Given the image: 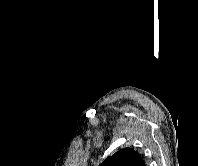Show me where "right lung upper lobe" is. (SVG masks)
Listing matches in <instances>:
<instances>
[{"label":"right lung upper lobe","mask_w":198,"mask_h":166,"mask_svg":"<svg viewBox=\"0 0 198 166\" xmlns=\"http://www.w3.org/2000/svg\"><path fill=\"white\" fill-rule=\"evenodd\" d=\"M100 166H145V163L135 150L123 148L108 157Z\"/></svg>","instance_id":"obj_1"}]
</instances>
